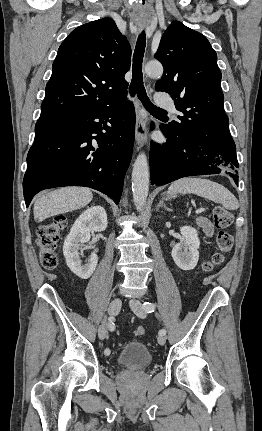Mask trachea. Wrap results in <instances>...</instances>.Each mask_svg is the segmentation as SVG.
Masks as SVG:
<instances>
[{
	"label": "trachea",
	"mask_w": 262,
	"mask_h": 431,
	"mask_svg": "<svg viewBox=\"0 0 262 431\" xmlns=\"http://www.w3.org/2000/svg\"><path fill=\"white\" fill-rule=\"evenodd\" d=\"M146 46L145 32L142 31L137 39L134 55H133V69H132V82L130 85V94L138 98L144 105V107L153 114L161 113L166 114L167 112L159 107H156L148 98L144 84L142 74V62Z\"/></svg>",
	"instance_id": "obj_1"
}]
</instances>
